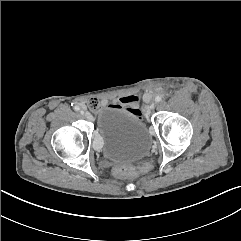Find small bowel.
<instances>
[{
  "instance_id": "c3829d8e",
  "label": "small bowel",
  "mask_w": 241,
  "mask_h": 241,
  "mask_svg": "<svg viewBox=\"0 0 241 241\" xmlns=\"http://www.w3.org/2000/svg\"><path fill=\"white\" fill-rule=\"evenodd\" d=\"M140 99L139 94H129L119 97L112 105L131 113L134 120H143L146 117V112L138 107Z\"/></svg>"
}]
</instances>
